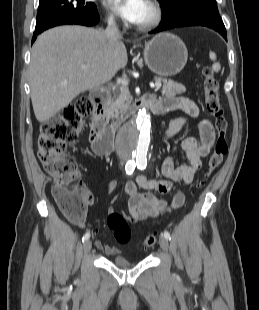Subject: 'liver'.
Here are the masks:
<instances>
[{
    "label": "liver",
    "mask_w": 259,
    "mask_h": 310,
    "mask_svg": "<svg viewBox=\"0 0 259 310\" xmlns=\"http://www.w3.org/2000/svg\"><path fill=\"white\" fill-rule=\"evenodd\" d=\"M127 61L124 43H110L98 29L73 25L42 33L32 47L29 69L36 119L46 122L80 93L111 80Z\"/></svg>",
    "instance_id": "obj_1"
}]
</instances>
